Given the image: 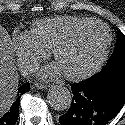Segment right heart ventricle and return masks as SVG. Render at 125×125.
Returning a JSON list of instances; mask_svg holds the SVG:
<instances>
[{
  "mask_svg": "<svg viewBox=\"0 0 125 125\" xmlns=\"http://www.w3.org/2000/svg\"><path fill=\"white\" fill-rule=\"evenodd\" d=\"M90 18L80 16H57L35 21L31 33L39 46L50 51L54 43L71 28Z\"/></svg>",
  "mask_w": 125,
  "mask_h": 125,
  "instance_id": "1",
  "label": "right heart ventricle"
}]
</instances>
